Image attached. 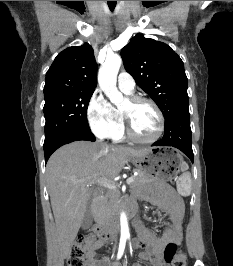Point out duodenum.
Returning <instances> with one entry per match:
<instances>
[{"label": "duodenum", "instance_id": "410a0bca", "mask_svg": "<svg viewBox=\"0 0 233 266\" xmlns=\"http://www.w3.org/2000/svg\"><path fill=\"white\" fill-rule=\"evenodd\" d=\"M99 191H95L93 194V210L96 212L98 201H99ZM137 212L136 206L134 204H128L126 207V213L128 216H135ZM92 232L97 235L100 239L111 242L115 235V229L108 224L94 223L92 227Z\"/></svg>", "mask_w": 233, "mask_h": 266}]
</instances>
